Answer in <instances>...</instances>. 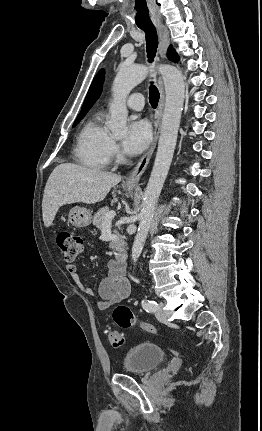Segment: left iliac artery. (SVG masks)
I'll return each instance as SVG.
<instances>
[{
    "mask_svg": "<svg viewBox=\"0 0 262 431\" xmlns=\"http://www.w3.org/2000/svg\"><path fill=\"white\" fill-rule=\"evenodd\" d=\"M141 303L146 312H155L158 308V304L154 300H142Z\"/></svg>",
    "mask_w": 262,
    "mask_h": 431,
    "instance_id": "1",
    "label": "left iliac artery"
}]
</instances>
